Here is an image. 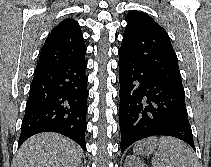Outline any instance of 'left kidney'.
I'll return each instance as SVG.
<instances>
[{"mask_svg": "<svg viewBox=\"0 0 211 167\" xmlns=\"http://www.w3.org/2000/svg\"><path fill=\"white\" fill-rule=\"evenodd\" d=\"M124 167H148L141 160L134 156H128L126 158Z\"/></svg>", "mask_w": 211, "mask_h": 167, "instance_id": "obj_1", "label": "left kidney"}]
</instances>
